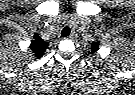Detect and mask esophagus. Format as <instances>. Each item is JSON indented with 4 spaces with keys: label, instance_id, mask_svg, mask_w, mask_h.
<instances>
[{
    "label": "esophagus",
    "instance_id": "obj_1",
    "mask_svg": "<svg viewBox=\"0 0 135 95\" xmlns=\"http://www.w3.org/2000/svg\"><path fill=\"white\" fill-rule=\"evenodd\" d=\"M68 39H75L76 38V34L75 33H71L68 37Z\"/></svg>",
    "mask_w": 135,
    "mask_h": 95
}]
</instances>
